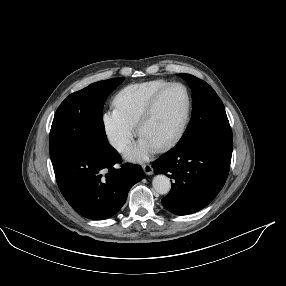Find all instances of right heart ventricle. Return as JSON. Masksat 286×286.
<instances>
[{"label":"right heart ventricle","mask_w":286,"mask_h":286,"mask_svg":"<svg viewBox=\"0 0 286 286\" xmlns=\"http://www.w3.org/2000/svg\"><path fill=\"white\" fill-rule=\"evenodd\" d=\"M170 83L171 82L166 79H155L129 84L116 94L114 97V105L136 125L139 116L152 96Z\"/></svg>","instance_id":"obj_1"}]
</instances>
